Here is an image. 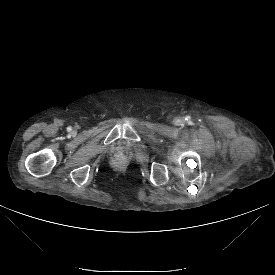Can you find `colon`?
<instances>
[{
	"label": "colon",
	"mask_w": 275,
	"mask_h": 275,
	"mask_svg": "<svg viewBox=\"0 0 275 275\" xmlns=\"http://www.w3.org/2000/svg\"><path fill=\"white\" fill-rule=\"evenodd\" d=\"M123 159L122 158H119V161H122Z\"/></svg>",
	"instance_id": "obj_1"
}]
</instances>
